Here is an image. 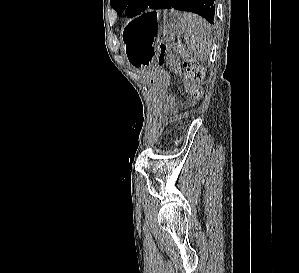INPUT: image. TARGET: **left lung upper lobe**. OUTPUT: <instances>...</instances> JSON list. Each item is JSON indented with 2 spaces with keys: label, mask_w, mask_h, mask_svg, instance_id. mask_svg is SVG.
<instances>
[{
  "label": "left lung upper lobe",
  "mask_w": 299,
  "mask_h": 273,
  "mask_svg": "<svg viewBox=\"0 0 299 273\" xmlns=\"http://www.w3.org/2000/svg\"><path fill=\"white\" fill-rule=\"evenodd\" d=\"M151 0H110L112 8H114L118 14H121L124 10L128 17H133L140 14L147 9Z\"/></svg>",
  "instance_id": "obj_1"
}]
</instances>
